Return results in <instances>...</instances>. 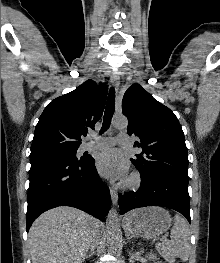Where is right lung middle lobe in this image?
Returning a JSON list of instances; mask_svg holds the SVG:
<instances>
[{
    "instance_id": "obj_1",
    "label": "right lung middle lobe",
    "mask_w": 220,
    "mask_h": 263,
    "mask_svg": "<svg viewBox=\"0 0 220 263\" xmlns=\"http://www.w3.org/2000/svg\"><path fill=\"white\" fill-rule=\"evenodd\" d=\"M77 149L78 148H70V149L51 150L47 152H51L55 155H58L68 160H74V161L84 160L85 157H81L79 159L76 157Z\"/></svg>"
}]
</instances>
